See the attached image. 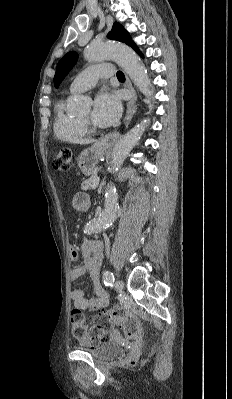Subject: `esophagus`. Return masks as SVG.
Instances as JSON below:
<instances>
[{"mask_svg": "<svg viewBox=\"0 0 232 399\" xmlns=\"http://www.w3.org/2000/svg\"><path fill=\"white\" fill-rule=\"evenodd\" d=\"M126 86L132 94L131 100H129V102L127 103L126 115L124 117V125H125V127H128V125L135 113L134 106H135L137 97H136V91H135L133 85L131 84L130 79L127 77V75H126ZM120 135L121 134L117 131L110 132L109 134H106V135H103L102 137H100V139L96 142L95 145L97 147L109 149V148L113 147L115 142L119 139Z\"/></svg>", "mask_w": 232, "mask_h": 399, "instance_id": "1", "label": "esophagus"}]
</instances>
